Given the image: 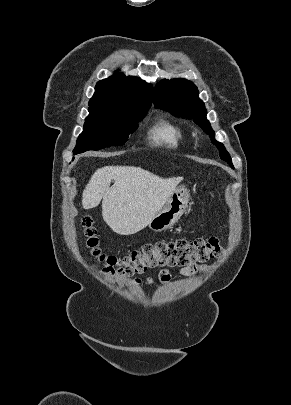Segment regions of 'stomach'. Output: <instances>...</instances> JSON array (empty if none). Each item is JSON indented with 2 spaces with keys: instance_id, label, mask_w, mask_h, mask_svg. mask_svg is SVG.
Listing matches in <instances>:
<instances>
[{
  "instance_id": "1",
  "label": "stomach",
  "mask_w": 291,
  "mask_h": 405,
  "mask_svg": "<svg viewBox=\"0 0 291 405\" xmlns=\"http://www.w3.org/2000/svg\"><path fill=\"white\" fill-rule=\"evenodd\" d=\"M189 198L190 193L185 186L176 188L164 207L149 222V228L154 231H162L173 226L185 212Z\"/></svg>"
}]
</instances>
